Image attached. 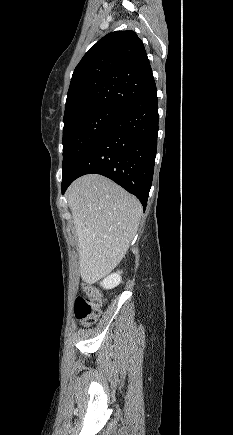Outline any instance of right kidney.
<instances>
[{
  "label": "right kidney",
  "mask_w": 233,
  "mask_h": 435,
  "mask_svg": "<svg viewBox=\"0 0 233 435\" xmlns=\"http://www.w3.org/2000/svg\"><path fill=\"white\" fill-rule=\"evenodd\" d=\"M122 273V271H118L117 273H113L109 276H107L102 282H100V285L104 288V289H112L117 287L120 283H121V276L120 274Z\"/></svg>",
  "instance_id": "obj_1"
}]
</instances>
